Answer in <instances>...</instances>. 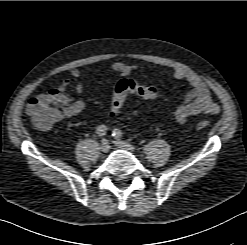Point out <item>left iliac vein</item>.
Instances as JSON below:
<instances>
[{
	"instance_id": "obj_1",
	"label": "left iliac vein",
	"mask_w": 247,
	"mask_h": 245,
	"mask_svg": "<svg viewBox=\"0 0 247 245\" xmlns=\"http://www.w3.org/2000/svg\"><path fill=\"white\" fill-rule=\"evenodd\" d=\"M114 143L116 144V146H118L121 149H125V150L130 151V152H133L135 150V147L133 145H131L125 141L116 139L114 141Z\"/></svg>"
}]
</instances>
